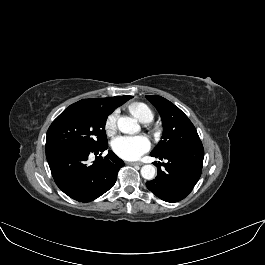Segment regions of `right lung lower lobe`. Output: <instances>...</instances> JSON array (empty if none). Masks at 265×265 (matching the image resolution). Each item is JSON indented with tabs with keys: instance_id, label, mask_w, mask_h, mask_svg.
Returning <instances> with one entry per match:
<instances>
[{
	"instance_id": "obj_1",
	"label": "right lung lower lobe",
	"mask_w": 265,
	"mask_h": 265,
	"mask_svg": "<svg viewBox=\"0 0 265 265\" xmlns=\"http://www.w3.org/2000/svg\"><path fill=\"white\" fill-rule=\"evenodd\" d=\"M107 148L108 144L97 149L75 145L46 146V158L57 186L80 202H90L108 191L115 184L124 162L111 150L105 157H96L92 164L88 162L89 154L97 155Z\"/></svg>"
}]
</instances>
